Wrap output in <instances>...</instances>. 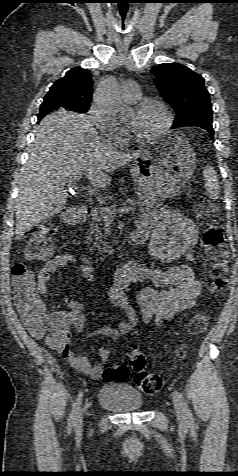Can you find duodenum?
Returning a JSON list of instances; mask_svg holds the SVG:
<instances>
[{"mask_svg":"<svg viewBox=\"0 0 238 476\" xmlns=\"http://www.w3.org/2000/svg\"><path fill=\"white\" fill-rule=\"evenodd\" d=\"M91 215V210L88 208H79L71 211L66 215V221L70 224H79L86 221ZM147 234L145 230L137 228L132 232L128 240V247L134 248L144 243ZM131 262L126 263L124 266H128Z\"/></svg>","mask_w":238,"mask_h":476,"instance_id":"duodenum-1","label":"duodenum"}]
</instances>
